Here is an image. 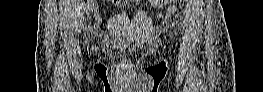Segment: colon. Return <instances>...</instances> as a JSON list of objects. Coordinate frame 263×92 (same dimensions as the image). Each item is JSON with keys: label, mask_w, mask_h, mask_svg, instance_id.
<instances>
[{"label": "colon", "mask_w": 263, "mask_h": 92, "mask_svg": "<svg viewBox=\"0 0 263 92\" xmlns=\"http://www.w3.org/2000/svg\"><path fill=\"white\" fill-rule=\"evenodd\" d=\"M151 3H154L155 5H162V4H165V3H168L170 1H167V0H152V1H149Z\"/></svg>", "instance_id": "1"}]
</instances>
